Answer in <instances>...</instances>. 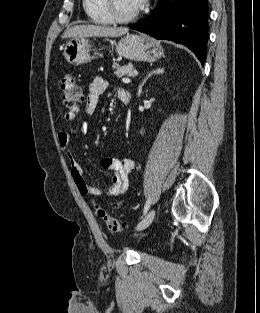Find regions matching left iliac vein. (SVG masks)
<instances>
[{
  "label": "left iliac vein",
  "instance_id": "1",
  "mask_svg": "<svg viewBox=\"0 0 260 313\" xmlns=\"http://www.w3.org/2000/svg\"><path fill=\"white\" fill-rule=\"evenodd\" d=\"M155 217V210L151 209L148 214L138 223L136 229L143 230L147 228L153 221Z\"/></svg>",
  "mask_w": 260,
  "mask_h": 313
}]
</instances>
